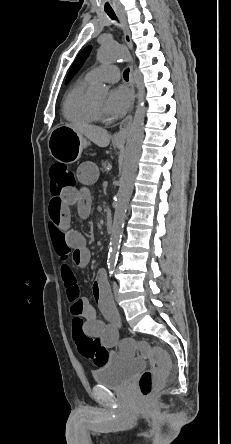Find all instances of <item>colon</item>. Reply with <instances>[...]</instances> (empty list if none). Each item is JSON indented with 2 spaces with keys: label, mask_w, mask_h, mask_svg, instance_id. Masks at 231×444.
I'll return each instance as SVG.
<instances>
[{
  "label": "colon",
  "mask_w": 231,
  "mask_h": 444,
  "mask_svg": "<svg viewBox=\"0 0 231 444\" xmlns=\"http://www.w3.org/2000/svg\"><path fill=\"white\" fill-rule=\"evenodd\" d=\"M50 194L52 199H59L64 190L74 186L75 179L69 168L61 163L51 165L49 169ZM84 320L76 315L72 321V336L77 350L81 356L90 360L94 365L102 366L109 355L108 350L100 344L96 338L88 336L83 331ZM122 347L134 351L137 355L147 359L150 368L139 377L138 388L142 396H150L160 387L170 368V360L167 353L160 347L151 346L141 340L127 338Z\"/></svg>",
  "instance_id": "1"
}]
</instances>
